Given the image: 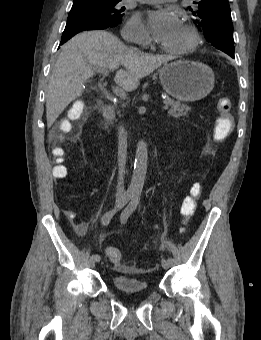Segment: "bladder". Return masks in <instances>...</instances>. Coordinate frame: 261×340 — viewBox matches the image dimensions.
Returning <instances> with one entry per match:
<instances>
[{"instance_id":"obj_1","label":"bladder","mask_w":261,"mask_h":340,"mask_svg":"<svg viewBox=\"0 0 261 340\" xmlns=\"http://www.w3.org/2000/svg\"><path fill=\"white\" fill-rule=\"evenodd\" d=\"M114 287L123 294H144L148 291L145 280L127 275L115 276L112 279Z\"/></svg>"}]
</instances>
